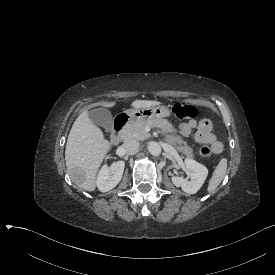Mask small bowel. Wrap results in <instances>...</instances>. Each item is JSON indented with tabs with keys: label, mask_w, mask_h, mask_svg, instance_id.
I'll use <instances>...</instances> for the list:
<instances>
[{
	"label": "small bowel",
	"mask_w": 275,
	"mask_h": 275,
	"mask_svg": "<svg viewBox=\"0 0 275 275\" xmlns=\"http://www.w3.org/2000/svg\"><path fill=\"white\" fill-rule=\"evenodd\" d=\"M192 130H195V140L198 143L209 144L216 154L222 152L223 145L212 133V124L210 120L203 119L200 122L190 121L188 123L180 124V132L182 136L188 135Z\"/></svg>",
	"instance_id": "small-bowel-1"
}]
</instances>
